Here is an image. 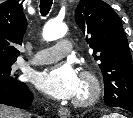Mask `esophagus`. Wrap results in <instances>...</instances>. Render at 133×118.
<instances>
[{
  "mask_svg": "<svg viewBox=\"0 0 133 118\" xmlns=\"http://www.w3.org/2000/svg\"><path fill=\"white\" fill-rule=\"evenodd\" d=\"M58 114L61 118H67V117H70V111L69 109L65 108V107H61L59 110H58Z\"/></svg>",
  "mask_w": 133,
  "mask_h": 118,
  "instance_id": "1",
  "label": "esophagus"
}]
</instances>
